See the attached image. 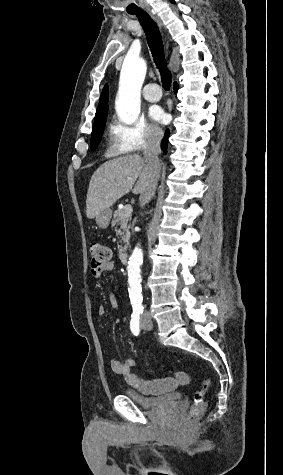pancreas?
<instances>
[{
    "label": "pancreas",
    "instance_id": "1",
    "mask_svg": "<svg viewBox=\"0 0 283 475\" xmlns=\"http://www.w3.org/2000/svg\"><path fill=\"white\" fill-rule=\"evenodd\" d=\"M113 216L114 220L112 226H115V232L117 236L121 238V245H118L119 253H125L130 241L129 220L131 218V212H128L127 206H124L121 210H115Z\"/></svg>",
    "mask_w": 283,
    "mask_h": 475
}]
</instances>
